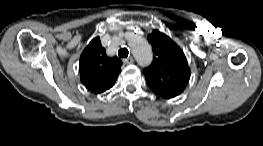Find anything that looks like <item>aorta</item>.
<instances>
[{
    "label": "aorta",
    "instance_id": "762f6f07",
    "mask_svg": "<svg viewBox=\"0 0 263 146\" xmlns=\"http://www.w3.org/2000/svg\"><path fill=\"white\" fill-rule=\"evenodd\" d=\"M129 46L137 63L140 66L145 67L152 62V49L144 38L139 35H132L129 39Z\"/></svg>",
    "mask_w": 263,
    "mask_h": 146
}]
</instances>
